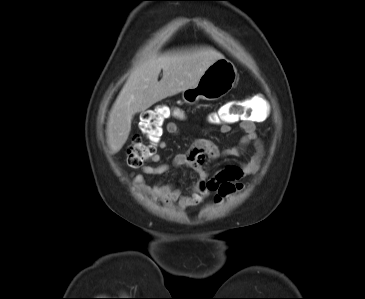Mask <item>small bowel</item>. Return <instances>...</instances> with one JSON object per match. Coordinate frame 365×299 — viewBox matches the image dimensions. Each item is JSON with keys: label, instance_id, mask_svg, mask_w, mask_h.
Here are the masks:
<instances>
[{"label": "small bowel", "instance_id": "obj_1", "mask_svg": "<svg viewBox=\"0 0 365 299\" xmlns=\"http://www.w3.org/2000/svg\"><path fill=\"white\" fill-rule=\"evenodd\" d=\"M260 118L258 116L253 117L250 120L240 121V128L243 131V135L240 138L237 145L220 149L215 143L208 139H198L191 148L185 152L177 154L172 161V165L175 167H189L191 168L201 179L200 189L198 192L185 196L182 195L180 190L171 184L159 182L153 187L142 184V188L148 193L158 197L166 204L177 203L178 208L184 209L188 206L196 204L207 192V183L221 184L224 182L237 183L243 177L255 174L259 168L264 155V149L261 141L256 133L255 124ZM166 132L170 135H176L179 133V126L175 122H168L166 124ZM231 127L226 125L220 126L222 133H228ZM253 142L255 146V153L249 161L241 163L239 165H233L217 171L212 176L206 171V163L208 160H216L222 157H237L244 153L247 146ZM156 146L159 149H165L167 143L164 140H158ZM161 160L160 155L155 154L152 158L154 163H159ZM170 165L167 163H159L156 165H146L142 168V171L147 175H162L170 169Z\"/></svg>", "mask_w": 365, "mask_h": 299}]
</instances>
